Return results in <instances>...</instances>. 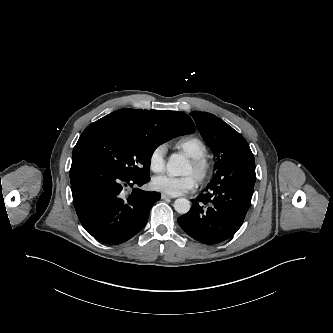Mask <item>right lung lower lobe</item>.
I'll return each instance as SVG.
<instances>
[{
  "instance_id": "1",
  "label": "right lung lower lobe",
  "mask_w": 333,
  "mask_h": 333,
  "mask_svg": "<svg viewBox=\"0 0 333 333\" xmlns=\"http://www.w3.org/2000/svg\"><path fill=\"white\" fill-rule=\"evenodd\" d=\"M149 179L121 175L95 158L73 155L71 190L82 226L107 244H120L132 238L146 225L151 207L160 198L157 192L134 188ZM130 187L132 192L126 196Z\"/></svg>"
}]
</instances>
